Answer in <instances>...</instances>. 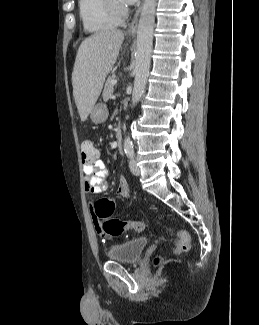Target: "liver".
Returning a JSON list of instances; mask_svg holds the SVG:
<instances>
[{"label": "liver", "mask_w": 259, "mask_h": 325, "mask_svg": "<svg viewBox=\"0 0 259 325\" xmlns=\"http://www.w3.org/2000/svg\"><path fill=\"white\" fill-rule=\"evenodd\" d=\"M124 40L121 30L97 32L80 45L72 73L73 96L82 122L91 113Z\"/></svg>", "instance_id": "6515ba94"}]
</instances>
